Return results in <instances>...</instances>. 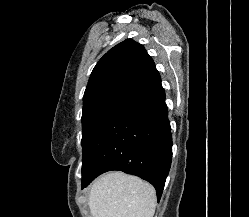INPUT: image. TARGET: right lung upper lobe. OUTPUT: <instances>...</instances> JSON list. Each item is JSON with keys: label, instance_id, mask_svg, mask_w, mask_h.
<instances>
[{"label": "right lung upper lobe", "instance_id": "right-lung-upper-lobe-1", "mask_svg": "<svg viewBox=\"0 0 249 217\" xmlns=\"http://www.w3.org/2000/svg\"><path fill=\"white\" fill-rule=\"evenodd\" d=\"M155 68L143 45L127 39L110 49L96 64L83 101L112 91L126 92Z\"/></svg>", "mask_w": 249, "mask_h": 217}]
</instances>
